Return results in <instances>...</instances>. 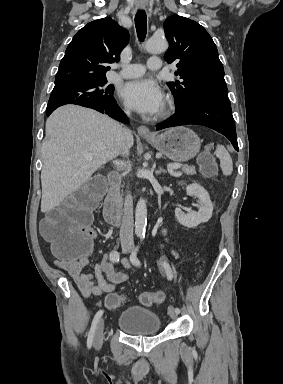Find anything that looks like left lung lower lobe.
I'll return each mask as SVG.
<instances>
[{
    "mask_svg": "<svg viewBox=\"0 0 283 384\" xmlns=\"http://www.w3.org/2000/svg\"><path fill=\"white\" fill-rule=\"evenodd\" d=\"M187 124L204 125L225 135L238 150L237 137L228 98L200 100L156 125L157 130Z\"/></svg>",
    "mask_w": 283,
    "mask_h": 384,
    "instance_id": "1",
    "label": "left lung lower lobe"
}]
</instances>
